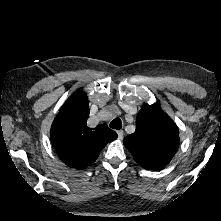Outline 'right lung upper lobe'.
<instances>
[{"instance_id": "1", "label": "right lung upper lobe", "mask_w": 221, "mask_h": 221, "mask_svg": "<svg viewBox=\"0 0 221 221\" xmlns=\"http://www.w3.org/2000/svg\"><path fill=\"white\" fill-rule=\"evenodd\" d=\"M89 105L86 93L70 96L51 127V141L64 163L84 169L98 157L105 145L117 138L116 132L105 124L87 127Z\"/></svg>"}]
</instances>
